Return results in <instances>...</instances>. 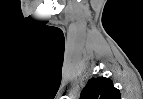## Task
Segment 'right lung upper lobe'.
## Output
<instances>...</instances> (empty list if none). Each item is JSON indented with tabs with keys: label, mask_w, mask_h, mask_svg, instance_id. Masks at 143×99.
Instances as JSON below:
<instances>
[{
	"label": "right lung upper lobe",
	"mask_w": 143,
	"mask_h": 99,
	"mask_svg": "<svg viewBox=\"0 0 143 99\" xmlns=\"http://www.w3.org/2000/svg\"><path fill=\"white\" fill-rule=\"evenodd\" d=\"M121 94L106 77L92 78L81 92L80 99H120Z\"/></svg>",
	"instance_id": "obj_1"
}]
</instances>
